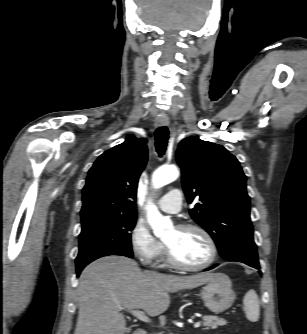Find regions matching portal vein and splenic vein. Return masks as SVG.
Instances as JSON below:
<instances>
[{
    "instance_id": "portal-vein-and-splenic-vein-1",
    "label": "portal vein and splenic vein",
    "mask_w": 307,
    "mask_h": 334,
    "mask_svg": "<svg viewBox=\"0 0 307 334\" xmlns=\"http://www.w3.org/2000/svg\"><path fill=\"white\" fill-rule=\"evenodd\" d=\"M121 310H124V308H120ZM128 312H130L133 316H135L136 318H138L139 320L143 321V322H146V323H149L151 320L150 318L143 312V311H140V310H126ZM201 323L200 322H196L194 324V328H198L200 327Z\"/></svg>"
}]
</instances>
